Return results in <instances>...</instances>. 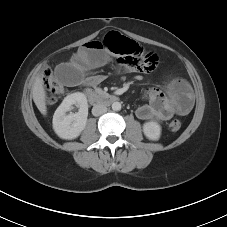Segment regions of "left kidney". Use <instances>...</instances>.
I'll return each mask as SVG.
<instances>
[{
  "instance_id": "5707ae66",
  "label": "left kidney",
  "mask_w": 227,
  "mask_h": 227,
  "mask_svg": "<svg viewBox=\"0 0 227 227\" xmlns=\"http://www.w3.org/2000/svg\"><path fill=\"white\" fill-rule=\"evenodd\" d=\"M144 135L153 141H157L161 135V126L157 122H146L143 124Z\"/></svg>"
}]
</instances>
